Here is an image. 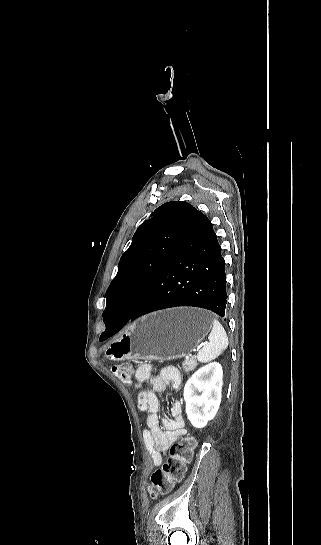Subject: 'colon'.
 Instances as JSON below:
<instances>
[{
	"instance_id": "obj_1",
	"label": "colon",
	"mask_w": 321,
	"mask_h": 545,
	"mask_svg": "<svg viewBox=\"0 0 321 545\" xmlns=\"http://www.w3.org/2000/svg\"><path fill=\"white\" fill-rule=\"evenodd\" d=\"M111 371L123 384L132 383V365L116 364L112 366ZM194 448L195 440L192 437H185L171 446L168 460L151 475L149 490L153 497L168 494L175 484L182 480L187 465L192 459Z\"/></svg>"
}]
</instances>
